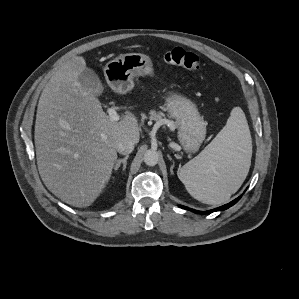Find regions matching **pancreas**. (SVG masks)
<instances>
[{"label":"pancreas","mask_w":299,"mask_h":299,"mask_svg":"<svg viewBox=\"0 0 299 299\" xmlns=\"http://www.w3.org/2000/svg\"><path fill=\"white\" fill-rule=\"evenodd\" d=\"M149 114L150 120L158 121L161 123L168 122L172 130H174L177 127V124L172 120L166 119L165 115L162 112H156L154 110H151Z\"/></svg>","instance_id":"1"}]
</instances>
